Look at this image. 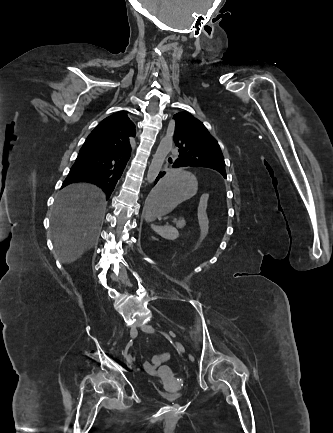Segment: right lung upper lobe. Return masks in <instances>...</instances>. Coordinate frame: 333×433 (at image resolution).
<instances>
[{
  "label": "right lung upper lobe",
  "mask_w": 333,
  "mask_h": 433,
  "mask_svg": "<svg viewBox=\"0 0 333 433\" xmlns=\"http://www.w3.org/2000/svg\"><path fill=\"white\" fill-rule=\"evenodd\" d=\"M135 136V125L126 111H119L104 120L88 136L100 152L121 150L130 146L129 137ZM87 138V140H88Z\"/></svg>",
  "instance_id": "1"
}]
</instances>
